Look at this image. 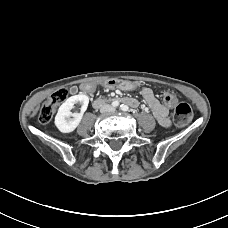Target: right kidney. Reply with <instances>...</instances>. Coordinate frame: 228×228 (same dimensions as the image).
<instances>
[{
    "label": "right kidney",
    "instance_id": "obj_1",
    "mask_svg": "<svg viewBox=\"0 0 228 228\" xmlns=\"http://www.w3.org/2000/svg\"><path fill=\"white\" fill-rule=\"evenodd\" d=\"M81 104L80 113H72L74 105ZM89 103L87 95L78 94L68 98L58 109L55 116V126L62 133L73 132L81 122L83 113L86 111Z\"/></svg>",
    "mask_w": 228,
    "mask_h": 228
}]
</instances>
